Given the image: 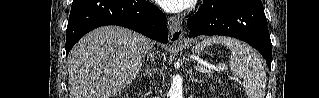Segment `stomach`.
Segmentation results:
<instances>
[{
  "label": "stomach",
  "mask_w": 319,
  "mask_h": 98,
  "mask_svg": "<svg viewBox=\"0 0 319 98\" xmlns=\"http://www.w3.org/2000/svg\"><path fill=\"white\" fill-rule=\"evenodd\" d=\"M184 45H185V46H191L193 50H196V48H194V47L192 46V42H190V41H185V42H184Z\"/></svg>",
  "instance_id": "obj_1"
}]
</instances>
